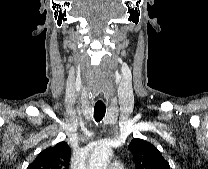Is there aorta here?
Listing matches in <instances>:
<instances>
[{
  "label": "aorta",
  "instance_id": "762f6f07",
  "mask_svg": "<svg viewBox=\"0 0 208 169\" xmlns=\"http://www.w3.org/2000/svg\"><path fill=\"white\" fill-rule=\"evenodd\" d=\"M112 156L113 151L109 145H99L90 156L89 169H107L108 163Z\"/></svg>",
  "mask_w": 208,
  "mask_h": 169
}]
</instances>
